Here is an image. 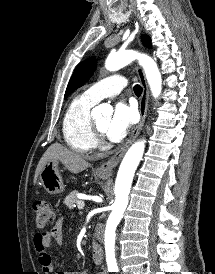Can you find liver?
Wrapping results in <instances>:
<instances>
[{
	"mask_svg": "<svg viewBox=\"0 0 215 274\" xmlns=\"http://www.w3.org/2000/svg\"><path fill=\"white\" fill-rule=\"evenodd\" d=\"M53 159L61 161L64 166L74 174L80 173L90 166V164L76 152L55 143L52 144L41 157L35 171L34 184L45 164Z\"/></svg>",
	"mask_w": 215,
	"mask_h": 274,
	"instance_id": "liver-1",
	"label": "liver"
}]
</instances>
